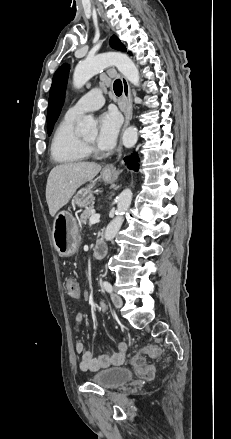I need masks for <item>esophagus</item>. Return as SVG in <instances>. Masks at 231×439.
Wrapping results in <instances>:
<instances>
[{
    "instance_id": "esophagus-1",
    "label": "esophagus",
    "mask_w": 231,
    "mask_h": 439,
    "mask_svg": "<svg viewBox=\"0 0 231 439\" xmlns=\"http://www.w3.org/2000/svg\"><path fill=\"white\" fill-rule=\"evenodd\" d=\"M122 80V86H123V98L125 100L126 103V107H125V123L123 126V130L129 125L131 119H132V111H133V107H132V95H131V89H130V85L128 80L122 76L121 77ZM118 154H117V159L119 160L121 158V143L118 146V150H117ZM116 170V166L115 164H109L105 167V171L108 172H114Z\"/></svg>"
}]
</instances>
